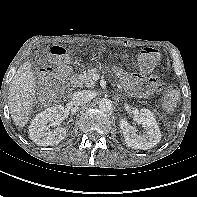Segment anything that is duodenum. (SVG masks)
Masks as SVG:
<instances>
[{"mask_svg": "<svg viewBox=\"0 0 197 197\" xmlns=\"http://www.w3.org/2000/svg\"><path fill=\"white\" fill-rule=\"evenodd\" d=\"M71 90H72V86H69V87L67 88V91L70 92Z\"/></svg>", "mask_w": 197, "mask_h": 197, "instance_id": "obj_1", "label": "duodenum"}]
</instances>
